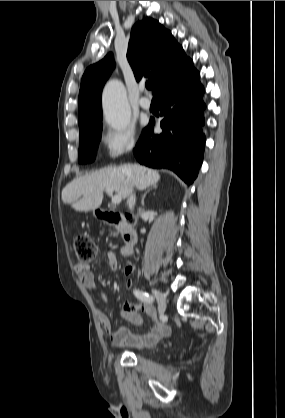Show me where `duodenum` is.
Wrapping results in <instances>:
<instances>
[{"label": "duodenum", "mask_w": 285, "mask_h": 418, "mask_svg": "<svg viewBox=\"0 0 285 418\" xmlns=\"http://www.w3.org/2000/svg\"><path fill=\"white\" fill-rule=\"evenodd\" d=\"M94 213L100 220L114 225L121 232L124 241V246L121 250L122 255L124 257L132 255L134 245L137 241V233L132 227L123 225V215L114 210L100 208H95Z\"/></svg>", "instance_id": "duodenum-1"}]
</instances>
